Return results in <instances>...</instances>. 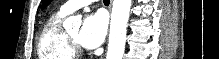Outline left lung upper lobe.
<instances>
[{
	"instance_id": "1",
	"label": "left lung upper lobe",
	"mask_w": 219,
	"mask_h": 59,
	"mask_svg": "<svg viewBox=\"0 0 219 59\" xmlns=\"http://www.w3.org/2000/svg\"><path fill=\"white\" fill-rule=\"evenodd\" d=\"M51 2V0H43V6H47L49 3Z\"/></svg>"
}]
</instances>
